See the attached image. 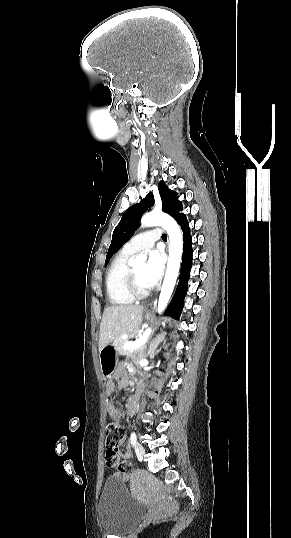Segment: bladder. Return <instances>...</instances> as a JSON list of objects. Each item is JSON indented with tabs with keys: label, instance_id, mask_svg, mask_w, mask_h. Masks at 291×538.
<instances>
[{
	"label": "bladder",
	"instance_id": "obj_1",
	"mask_svg": "<svg viewBox=\"0 0 291 538\" xmlns=\"http://www.w3.org/2000/svg\"><path fill=\"white\" fill-rule=\"evenodd\" d=\"M145 512V507L129 495L120 480H107L97 505L98 521L105 533L127 534Z\"/></svg>",
	"mask_w": 291,
	"mask_h": 538
}]
</instances>
